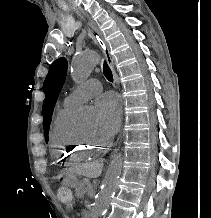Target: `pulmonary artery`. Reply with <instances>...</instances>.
Returning a JSON list of instances; mask_svg holds the SVG:
<instances>
[{
	"label": "pulmonary artery",
	"mask_w": 211,
	"mask_h": 218,
	"mask_svg": "<svg viewBox=\"0 0 211 218\" xmlns=\"http://www.w3.org/2000/svg\"><path fill=\"white\" fill-rule=\"evenodd\" d=\"M102 90V85L97 79H91L68 94L63 102L65 108H76L78 105L93 97Z\"/></svg>",
	"instance_id": "e3ab8cb5"
}]
</instances>
